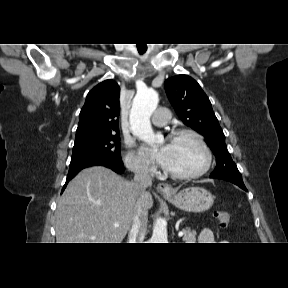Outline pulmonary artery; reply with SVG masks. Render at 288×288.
Masks as SVG:
<instances>
[{"label": "pulmonary artery", "instance_id": "pulmonary-artery-1", "mask_svg": "<svg viewBox=\"0 0 288 288\" xmlns=\"http://www.w3.org/2000/svg\"><path fill=\"white\" fill-rule=\"evenodd\" d=\"M169 119H170V112L164 107H159L155 111V115L153 116L152 122L154 126L159 127L165 125L169 121Z\"/></svg>", "mask_w": 288, "mask_h": 288}]
</instances>
